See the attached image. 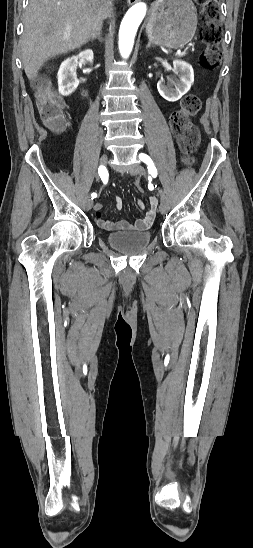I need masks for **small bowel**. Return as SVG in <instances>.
Returning <instances> with one entry per match:
<instances>
[{"label":"small bowel","instance_id":"small-bowel-1","mask_svg":"<svg viewBox=\"0 0 253 548\" xmlns=\"http://www.w3.org/2000/svg\"><path fill=\"white\" fill-rule=\"evenodd\" d=\"M115 205L118 209L122 207V201L119 197H116L115 199ZM158 205V200L156 197H151L149 200V208L146 210L144 216L142 218L137 219L134 223H129L128 221L121 220L118 222H114L111 220H105L102 218L101 210L102 205L100 203H96L94 205V211H95V217L96 222L99 227L108 230H138L142 231L147 229L151 223L154 220L156 208ZM137 206L139 209L144 210V203L142 200H137Z\"/></svg>","mask_w":253,"mask_h":548}]
</instances>
